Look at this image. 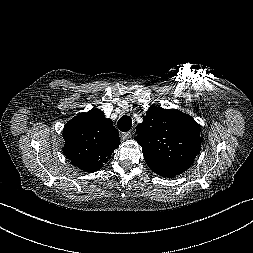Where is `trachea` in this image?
<instances>
[{"label":"trachea","mask_w":253,"mask_h":253,"mask_svg":"<svg viewBox=\"0 0 253 253\" xmlns=\"http://www.w3.org/2000/svg\"><path fill=\"white\" fill-rule=\"evenodd\" d=\"M132 119L129 116H122L118 121V128L122 132H127L131 129Z\"/></svg>","instance_id":"obj_1"}]
</instances>
